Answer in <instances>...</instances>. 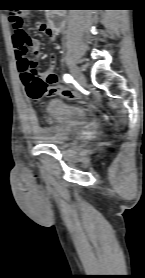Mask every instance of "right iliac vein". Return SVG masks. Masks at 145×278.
Here are the masks:
<instances>
[{
    "label": "right iliac vein",
    "mask_w": 145,
    "mask_h": 278,
    "mask_svg": "<svg viewBox=\"0 0 145 278\" xmlns=\"http://www.w3.org/2000/svg\"><path fill=\"white\" fill-rule=\"evenodd\" d=\"M71 74L79 84L84 85L86 83L84 74L77 67L71 68Z\"/></svg>",
    "instance_id": "1"
}]
</instances>
